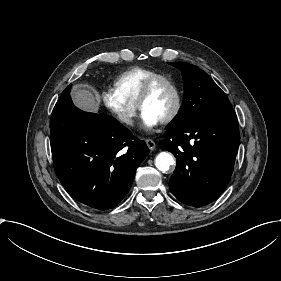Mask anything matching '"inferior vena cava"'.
Instances as JSON below:
<instances>
[{
	"mask_svg": "<svg viewBox=\"0 0 281 281\" xmlns=\"http://www.w3.org/2000/svg\"><path fill=\"white\" fill-rule=\"evenodd\" d=\"M123 122L127 123V124H131L132 120L128 117L122 116V118H120Z\"/></svg>",
	"mask_w": 281,
	"mask_h": 281,
	"instance_id": "obj_1",
	"label": "inferior vena cava"
}]
</instances>
